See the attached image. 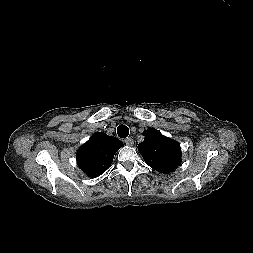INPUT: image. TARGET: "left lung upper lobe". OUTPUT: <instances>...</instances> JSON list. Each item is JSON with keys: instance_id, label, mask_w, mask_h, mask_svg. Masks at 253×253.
I'll return each instance as SVG.
<instances>
[{"instance_id": "1", "label": "left lung upper lobe", "mask_w": 253, "mask_h": 253, "mask_svg": "<svg viewBox=\"0 0 253 253\" xmlns=\"http://www.w3.org/2000/svg\"><path fill=\"white\" fill-rule=\"evenodd\" d=\"M144 141L139 143L138 150L144 161L156 171L169 173L174 171L181 161L180 144L156 129L143 132Z\"/></svg>"}]
</instances>
